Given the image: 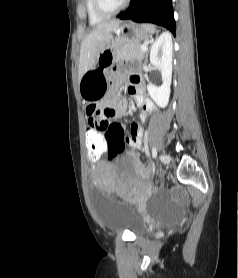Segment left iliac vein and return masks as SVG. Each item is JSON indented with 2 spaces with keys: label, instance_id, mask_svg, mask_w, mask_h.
<instances>
[{
  "label": "left iliac vein",
  "instance_id": "4c4485c4",
  "mask_svg": "<svg viewBox=\"0 0 238 278\" xmlns=\"http://www.w3.org/2000/svg\"><path fill=\"white\" fill-rule=\"evenodd\" d=\"M161 161L166 165L170 162V158L167 154H161Z\"/></svg>",
  "mask_w": 238,
  "mask_h": 278
}]
</instances>
